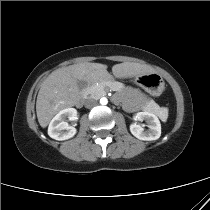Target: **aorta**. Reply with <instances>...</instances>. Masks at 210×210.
<instances>
[{"label": "aorta", "mask_w": 210, "mask_h": 210, "mask_svg": "<svg viewBox=\"0 0 210 210\" xmlns=\"http://www.w3.org/2000/svg\"><path fill=\"white\" fill-rule=\"evenodd\" d=\"M107 99L106 98H102L101 100H100V103L102 104V105H106L107 104Z\"/></svg>", "instance_id": "obj_1"}]
</instances>
